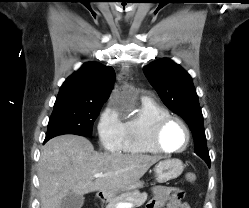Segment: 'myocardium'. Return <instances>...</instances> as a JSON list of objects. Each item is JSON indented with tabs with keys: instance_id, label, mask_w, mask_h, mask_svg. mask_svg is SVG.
Here are the masks:
<instances>
[{
	"instance_id": "1",
	"label": "myocardium",
	"mask_w": 249,
	"mask_h": 208,
	"mask_svg": "<svg viewBox=\"0 0 249 208\" xmlns=\"http://www.w3.org/2000/svg\"><path fill=\"white\" fill-rule=\"evenodd\" d=\"M171 122H177L179 123L183 129L185 130L186 133V141L183 147L179 149H167L163 146L162 141H161V136L163 130L166 128V126L171 123ZM150 142L152 146L159 152V153H167V154H176V153H181L184 152L190 142H191V131L187 123L181 119L180 117L174 116V115H167L159 119L155 125L153 126L151 135H150Z\"/></svg>"
}]
</instances>
